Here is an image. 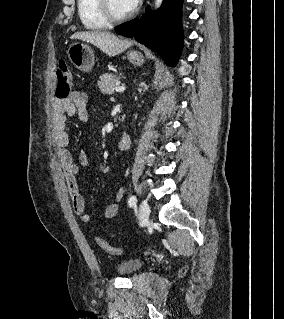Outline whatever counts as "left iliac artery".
I'll list each match as a JSON object with an SVG mask.
<instances>
[{
	"mask_svg": "<svg viewBox=\"0 0 284 319\" xmlns=\"http://www.w3.org/2000/svg\"><path fill=\"white\" fill-rule=\"evenodd\" d=\"M137 202L136 196L132 195L128 200V205L130 207L134 206Z\"/></svg>",
	"mask_w": 284,
	"mask_h": 319,
	"instance_id": "left-iliac-artery-1",
	"label": "left iliac artery"
}]
</instances>
